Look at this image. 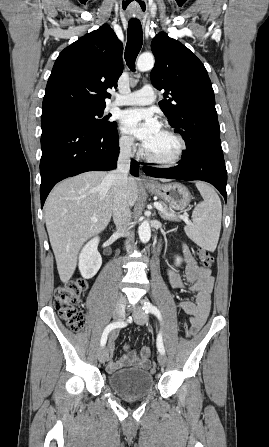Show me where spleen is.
<instances>
[{"label":"spleen","instance_id":"spleen-1","mask_svg":"<svg viewBox=\"0 0 269 447\" xmlns=\"http://www.w3.org/2000/svg\"><path fill=\"white\" fill-rule=\"evenodd\" d=\"M196 188L199 190L204 202L197 204L193 210V224L185 225L186 235L200 245L202 249L214 251L218 243L221 220L222 206L218 194L212 186L206 182H196Z\"/></svg>","mask_w":269,"mask_h":447}]
</instances>
